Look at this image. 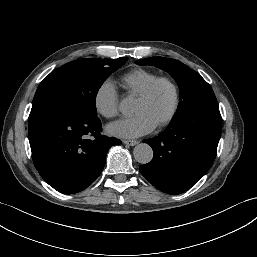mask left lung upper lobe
I'll return each instance as SVG.
<instances>
[{
	"mask_svg": "<svg viewBox=\"0 0 257 257\" xmlns=\"http://www.w3.org/2000/svg\"><path fill=\"white\" fill-rule=\"evenodd\" d=\"M136 63L154 65L168 72L177 81L181 100L173 120L180 119L206 104L217 103L211 86L197 72L177 60L151 57L137 60Z\"/></svg>",
	"mask_w": 257,
	"mask_h": 257,
	"instance_id": "5c2ea615",
	"label": "left lung upper lobe"
}]
</instances>
